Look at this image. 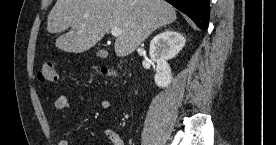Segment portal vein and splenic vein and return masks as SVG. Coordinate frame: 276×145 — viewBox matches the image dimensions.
<instances>
[{"mask_svg": "<svg viewBox=\"0 0 276 145\" xmlns=\"http://www.w3.org/2000/svg\"><path fill=\"white\" fill-rule=\"evenodd\" d=\"M121 33H122V30H121L120 28L115 27V28H112V29H111V34H112V36H114V37L120 36Z\"/></svg>", "mask_w": 276, "mask_h": 145, "instance_id": "portal-vein-and-splenic-vein-1", "label": "portal vein and splenic vein"}]
</instances>
